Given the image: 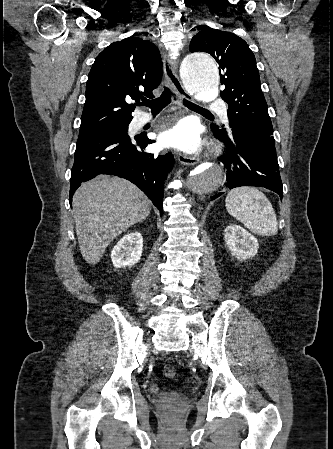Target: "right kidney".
<instances>
[{"label": "right kidney", "mask_w": 333, "mask_h": 449, "mask_svg": "<svg viewBox=\"0 0 333 449\" xmlns=\"http://www.w3.org/2000/svg\"><path fill=\"white\" fill-rule=\"evenodd\" d=\"M143 237L140 232H132L121 238L111 252V260L116 268L131 267L142 256Z\"/></svg>", "instance_id": "right-kidney-1"}]
</instances>
